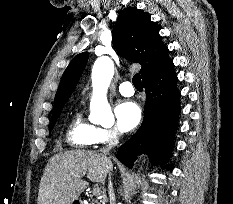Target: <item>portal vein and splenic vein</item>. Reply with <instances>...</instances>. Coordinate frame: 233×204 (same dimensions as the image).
Listing matches in <instances>:
<instances>
[{"mask_svg":"<svg viewBox=\"0 0 233 204\" xmlns=\"http://www.w3.org/2000/svg\"><path fill=\"white\" fill-rule=\"evenodd\" d=\"M101 194V189L99 187L94 188L93 195L98 196Z\"/></svg>","mask_w":233,"mask_h":204,"instance_id":"portal-vein-and-splenic-vein-1","label":"portal vein and splenic vein"}]
</instances>
